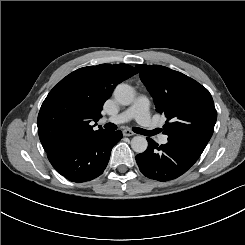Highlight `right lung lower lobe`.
Masks as SVG:
<instances>
[{"label":"right lung lower lobe","mask_w":245,"mask_h":245,"mask_svg":"<svg viewBox=\"0 0 245 245\" xmlns=\"http://www.w3.org/2000/svg\"><path fill=\"white\" fill-rule=\"evenodd\" d=\"M121 131H99L62 142L47 152L52 166L73 182L90 181L103 173Z\"/></svg>","instance_id":"1"}]
</instances>
